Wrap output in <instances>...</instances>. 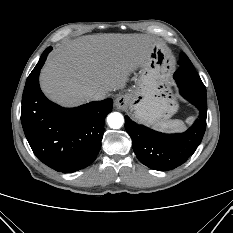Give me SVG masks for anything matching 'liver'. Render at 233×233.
<instances>
[{
  "instance_id": "obj_1",
  "label": "liver",
  "mask_w": 233,
  "mask_h": 233,
  "mask_svg": "<svg viewBox=\"0 0 233 233\" xmlns=\"http://www.w3.org/2000/svg\"><path fill=\"white\" fill-rule=\"evenodd\" d=\"M158 43L146 34H96L70 40L55 49L40 73V86L53 102L74 107L99 90L125 88Z\"/></svg>"
}]
</instances>
